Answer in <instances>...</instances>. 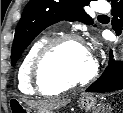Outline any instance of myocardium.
Returning a JSON list of instances; mask_svg holds the SVG:
<instances>
[{
	"label": "myocardium",
	"instance_id": "obj_1",
	"mask_svg": "<svg viewBox=\"0 0 123 113\" xmlns=\"http://www.w3.org/2000/svg\"><path fill=\"white\" fill-rule=\"evenodd\" d=\"M74 42L83 45V39L77 34H63L50 38L37 52L31 68V77L34 85L43 91H63L73 89L92 81L98 71L97 63L92 60L90 72L83 78L69 83H52L44 74L47 60L65 43Z\"/></svg>",
	"mask_w": 123,
	"mask_h": 113
}]
</instances>
